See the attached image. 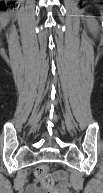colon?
Here are the masks:
<instances>
[{"instance_id": "5ec220e1", "label": "colon", "mask_w": 103, "mask_h": 193, "mask_svg": "<svg viewBox=\"0 0 103 193\" xmlns=\"http://www.w3.org/2000/svg\"><path fill=\"white\" fill-rule=\"evenodd\" d=\"M60 174L53 175L49 168L41 165L36 169V176L41 181L42 185L47 189H52L56 181L60 178Z\"/></svg>"}]
</instances>
